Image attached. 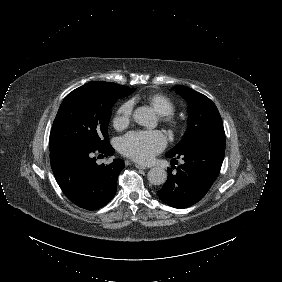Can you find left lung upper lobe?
Listing matches in <instances>:
<instances>
[{"label": "left lung upper lobe", "instance_id": "left-lung-upper-lobe-1", "mask_svg": "<svg viewBox=\"0 0 282 282\" xmlns=\"http://www.w3.org/2000/svg\"><path fill=\"white\" fill-rule=\"evenodd\" d=\"M175 92L188 103V128L181 141L168 154L175 155L203 139L225 137L221 116L209 98L182 85H177Z\"/></svg>", "mask_w": 282, "mask_h": 282}]
</instances>
